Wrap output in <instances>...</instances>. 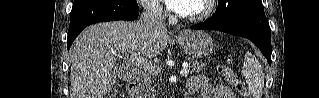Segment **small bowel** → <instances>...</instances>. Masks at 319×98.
<instances>
[{
	"label": "small bowel",
	"instance_id": "c3829d8e",
	"mask_svg": "<svg viewBox=\"0 0 319 98\" xmlns=\"http://www.w3.org/2000/svg\"><path fill=\"white\" fill-rule=\"evenodd\" d=\"M188 89L191 92L200 89L203 98H236L229 87L225 85H210L203 76L190 78Z\"/></svg>",
	"mask_w": 319,
	"mask_h": 98
}]
</instances>
